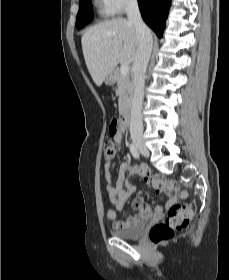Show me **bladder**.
I'll return each mask as SVG.
<instances>
[{
  "mask_svg": "<svg viewBox=\"0 0 229 280\" xmlns=\"http://www.w3.org/2000/svg\"><path fill=\"white\" fill-rule=\"evenodd\" d=\"M145 228H146V221L142 219L137 221L130 228L113 231L112 235L120 239H137L142 236Z\"/></svg>",
  "mask_w": 229,
  "mask_h": 280,
  "instance_id": "1",
  "label": "bladder"
}]
</instances>
